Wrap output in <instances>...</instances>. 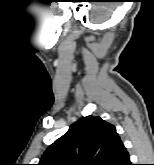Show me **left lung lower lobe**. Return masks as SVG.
<instances>
[{
    "instance_id": "obj_1",
    "label": "left lung lower lobe",
    "mask_w": 154,
    "mask_h": 165,
    "mask_svg": "<svg viewBox=\"0 0 154 165\" xmlns=\"http://www.w3.org/2000/svg\"><path fill=\"white\" fill-rule=\"evenodd\" d=\"M115 165H132L130 162L129 154L124 146L119 151L118 159Z\"/></svg>"
}]
</instances>
